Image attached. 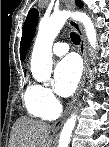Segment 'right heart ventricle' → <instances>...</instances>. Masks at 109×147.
Segmentation results:
<instances>
[{"label":"right heart ventricle","instance_id":"e07e8e85","mask_svg":"<svg viewBox=\"0 0 109 147\" xmlns=\"http://www.w3.org/2000/svg\"><path fill=\"white\" fill-rule=\"evenodd\" d=\"M34 89H35V85L30 84L27 86L25 90L24 103L28 113L31 116L39 119H45V120L54 119L58 115L59 110L57 109L56 111H49L43 108L41 105H39L33 99Z\"/></svg>","mask_w":109,"mask_h":147}]
</instances>
